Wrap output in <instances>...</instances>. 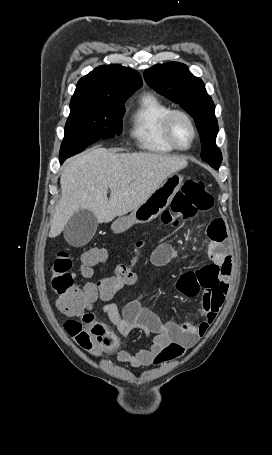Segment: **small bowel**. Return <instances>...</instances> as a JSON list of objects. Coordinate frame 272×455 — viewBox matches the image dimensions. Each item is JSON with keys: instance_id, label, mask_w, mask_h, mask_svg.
<instances>
[{"instance_id": "obj_1", "label": "small bowel", "mask_w": 272, "mask_h": 455, "mask_svg": "<svg viewBox=\"0 0 272 455\" xmlns=\"http://www.w3.org/2000/svg\"><path fill=\"white\" fill-rule=\"evenodd\" d=\"M207 236L209 263L198 270L184 273L177 283V289L183 295L201 298V322H163L152 309L144 305V295L130 300L122 309L115 303L104 306V312L122 336H128L134 329L155 334L148 348L135 353L119 351V363L143 367L177 359L193 347L214 323L228 291L232 259L227 246L226 226L222 220L215 219L210 223ZM174 254L175 250L170 244L162 243L153 250L151 262L157 266L165 265Z\"/></svg>"}]
</instances>
